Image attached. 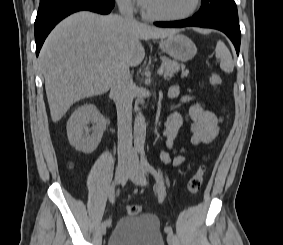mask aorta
I'll list each match as a JSON object with an SVG mask.
<instances>
[{
	"label": "aorta",
	"instance_id": "1",
	"mask_svg": "<svg viewBox=\"0 0 283 245\" xmlns=\"http://www.w3.org/2000/svg\"><path fill=\"white\" fill-rule=\"evenodd\" d=\"M146 138V121L142 112H138L134 121V146L136 150H144Z\"/></svg>",
	"mask_w": 283,
	"mask_h": 245
}]
</instances>
